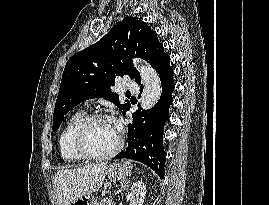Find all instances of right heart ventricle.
<instances>
[{"label":"right heart ventricle","mask_w":269,"mask_h":205,"mask_svg":"<svg viewBox=\"0 0 269 205\" xmlns=\"http://www.w3.org/2000/svg\"><path fill=\"white\" fill-rule=\"evenodd\" d=\"M87 116L85 111H78L71 115L59 135L58 144L60 155L68 163H78L84 160L74 148L73 137L78 126Z\"/></svg>","instance_id":"1"}]
</instances>
